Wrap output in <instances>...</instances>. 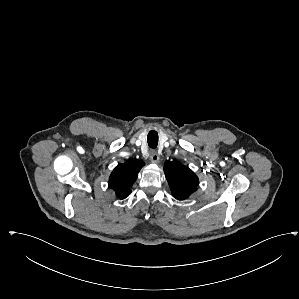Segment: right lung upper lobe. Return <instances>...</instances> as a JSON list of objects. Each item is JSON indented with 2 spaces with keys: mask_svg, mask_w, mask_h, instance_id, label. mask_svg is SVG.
<instances>
[{
  "mask_svg": "<svg viewBox=\"0 0 299 299\" xmlns=\"http://www.w3.org/2000/svg\"><path fill=\"white\" fill-rule=\"evenodd\" d=\"M143 166V161L130 159L115 167L110 175L108 184L115 191L118 198L124 199L131 193L130 188L136 181L138 172Z\"/></svg>",
  "mask_w": 299,
  "mask_h": 299,
  "instance_id": "obj_1",
  "label": "right lung upper lobe"
}]
</instances>
